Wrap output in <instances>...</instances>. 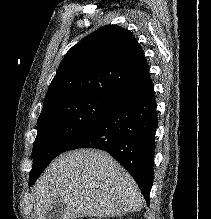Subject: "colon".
<instances>
[{
	"mask_svg": "<svg viewBox=\"0 0 211 219\" xmlns=\"http://www.w3.org/2000/svg\"><path fill=\"white\" fill-rule=\"evenodd\" d=\"M84 219H101V218H84Z\"/></svg>",
	"mask_w": 211,
	"mask_h": 219,
	"instance_id": "5ec220e1",
	"label": "colon"
}]
</instances>
